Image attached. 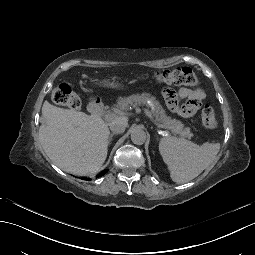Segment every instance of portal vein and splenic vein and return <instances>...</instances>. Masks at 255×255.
<instances>
[{
  "instance_id": "1",
  "label": "portal vein and splenic vein",
  "mask_w": 255,
  "mask_h": 255,
  "mask_svg": "<svg viewBox=\"0 0 255 255\" xmlns=\"http://www.w3.org/2000/svg\"><path fill=\"white\" fill-rule=\"evenodd\" d=\"M141 113L147 115L150 119V123L154 125L159 131L167 128V125H162L159 121L153 118L152 114L148 112V109H146V107H141ZM117 115H124V110H113L111 112L104 113L102 114V119L115 117ZM169 130H172V127H169ZM175 132H178V129H175ZM180 135H182V137H185V134H183V132H180Z\"/></svg>"
}]
</instances>
